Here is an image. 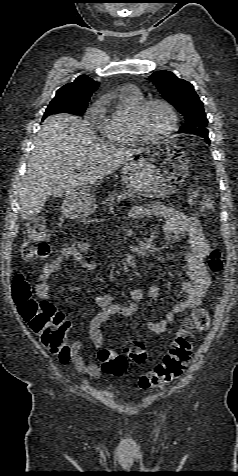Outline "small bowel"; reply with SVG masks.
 <instances>
[{"mask_svg": "<svg viewBox=\"0 0 238 476\" xmlns=\"http://www.w3.org/2000/svg\"><path fill=\"white\" fill-rule=\"evenodd\" d=\"M129 218L139 220L149 217H157L164 220L163 232L168 239H177L185 236L188 250L184 255L188 280L183 283L182 290L186 297L178 302L170 311L163 314L159 320L149 321L147 328L155 333L165 332L169 324L174 320L176 314L201 305L203 297L211 286L212 279L205 266V259L209 254V244L207 243L203 229L195 216L185 214L180 210L163 204L151 206H135L129 210ZM89 242L82 239L65 247L61 253L46 263L39 275L35 288L37 296L43 301L50 299L49 279L59 277L62 266L67 259H73L83 269L92 271L96 268V263L88 256ZM130 296L133 302L124 304L114 300L108 293H101L95 297V302L100 311L91 320L89 325L90 340L97 349L103 348V335L101 326L112 315H122L124 317H135L138 310V302L145 297L156 299L158 287L151 286L146 292L141 289H132ZM83 342L75 341L68 347L65 355H58L61 363L71 362L80 373H86L94 378L101 376L103 369L97 363L87 361L82 355Z\"/></svg>", "mask_w": 238, "mask_h": 476, "instance_id": "small-bowel-1", "label": "small bowel"}]
</instances>
